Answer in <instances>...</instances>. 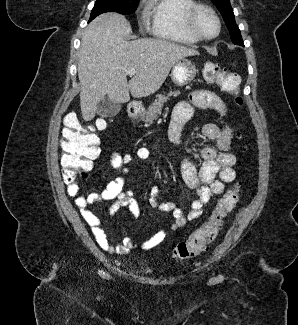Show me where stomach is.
Instances as JSON below:
<instances>
[{
	"mask_svg": "<svg viewBox=\"0 0 298 325\" xmlns=\"http://www.w3.org/2000/svg\"><path fill=\"white\" fill-rule=\"evenodd\" d=\"M197 74V66L193 60L190 58H180L170 72V78L173 80L176 86H185V84H190L194 80ZM144 110L138 112L137 118H142Z\"/></svg>",
	"mask_w": 298,
	"mask_h": 325,
	"instance_id": "stomach-1",
	"label": "stomach"
}]
</instances>
